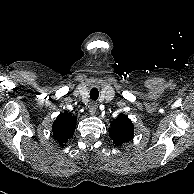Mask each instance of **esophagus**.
I'll list each match as a JSON object with an SVG mask.
<instances>
[{"instance_id":"obj_1","label":"esophagus","mask_w":194,"mask_h":194,"mask_svg":"<svg viewBox=\"0 0 194 194\" xmlns=\"http://www.w3.org/2000/svg\"><path fill=\"white\" fill-rule=\"evenodd\" d=\"M88 108H89L90 114L94 115L97 110V103L94 101L90 102Z\"/></svg>"}]
</instances>
